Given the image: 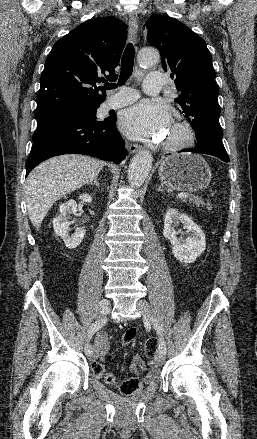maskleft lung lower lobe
<instances>
[{"label":"left lung lower lobe","mask_w":257,"mask_h":439,"mask_svg":"<svg viewBox=\"0 0 257 439\" xmlns=\"http://www.w3.org/2000/svg\"><path fill=\"white\" fill-rule=\"evenodd\" d=\"M186 152H192V153H201V154H209L215 157H218L219 159L229 162V157L227 155L226 150H218L213 147H195L194 149L189 150H183Z\"/></svg>","instance_id":"left-lung-lower-lobe-1"}]
</instances>
